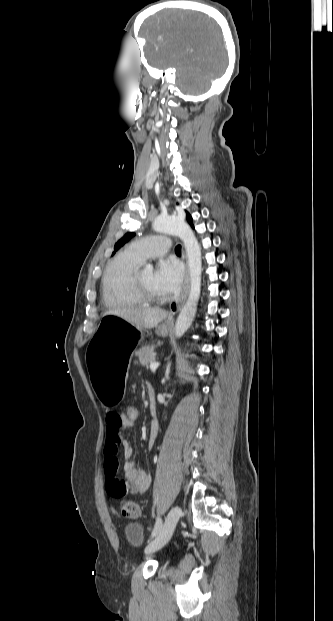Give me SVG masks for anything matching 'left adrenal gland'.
I'll return each mask as SVG.
<instances>
[{"mask_svg":"<svg viewBox=\"0 0 333 621\" xmlns=\"http://www.w3.org/2000/svg\"><path fill=\"white\" fill-rule=\"evenodd\" d=\"M169 371H170V369L168 368L167 374H166L167 379L169 378Z\"/></svg>","mask_w":333,"mask_h":621,"instance_id":"left-adrenal-gland-1","label":"left adrenal gland"}]
</instances>
